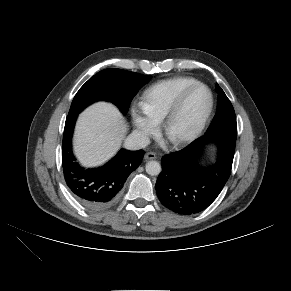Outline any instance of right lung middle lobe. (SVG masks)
Listing matches in <instances>:
<instances>
[{"label":"right lung middle lobe","mask_w":291,"mask_h":291,"mask_svg":"<svg viewBox=\"0 0 291 291\" xmlns=\"http://www.w3.org/2000/svg\"><path fill=\"white\" fill-rule=\"evenodd\" d=\"M150 79L151 76L121 69L102 70L79 89L68 115L78 114L98 100L110 101L118 106L123 114H126L133 97Z\"/></svg>","instance_id":"1"}]
</instances>
